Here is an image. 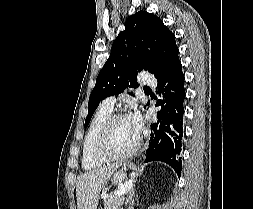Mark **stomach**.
<instances>
[{"label": "stomach", "mask_w": 253, "mask_h": 209, "mask_svg": "<svg viewBox=\"0 0 253 209\" xmlns=\"http://www.w3.org/2000/svg\"><path fill=\"white\" fill-rule=\"evenodd\" d=\"M103 186H112V181H103Z\"/></svg>", "instance_id": "obj_1"}]
</instances>
